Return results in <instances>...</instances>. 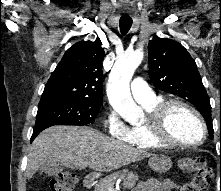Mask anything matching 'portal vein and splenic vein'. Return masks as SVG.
I'll return each instance as SVG.
<instances>
[{
	"label": "portal vein and splenic vein",
	"instance_id": "1",
	"mask_svg": "<svg viewBox=\"0 0 221 191\" xmlns=\"http://www.w3.org/2000/svg\"><path fill=\"white\" fill-rule=\"evenodd\" d=\"M109 191H115L113 188H109Z\"/></svg>",
	"mask_w": 221,
	"mask_h": 191
}]
</instances>
